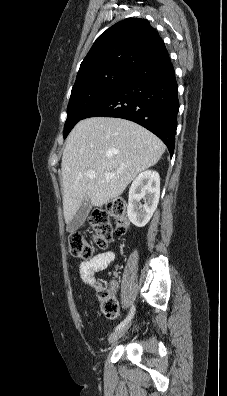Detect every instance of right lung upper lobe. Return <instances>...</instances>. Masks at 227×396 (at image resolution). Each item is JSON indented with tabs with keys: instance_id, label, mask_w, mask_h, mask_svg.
<instances>
[{
	"instance_id": "cb5924a9",
	"label": "right lung upper lobe",
	"mask_w": 227,
	"mask_h": 396,
	"mask_svg": "<svg viewBox=\"0 0 227 396\" xmlns=\"http://www.w3.org/2000/svg\"><path fill=\"white\" fill-rule=\"evenodd\" d=\"M164 48L163 40L148 20L127 18L97 38L80 65L75 83L111 68L133 70Z\"/></svg>"
}]
</instances>
